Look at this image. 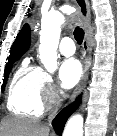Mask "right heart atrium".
<instances>
[{"label": "right heart atrium", "instance_id": "1", "mask_svg": "<svg viewBox=\"0 0 117 136\" xmlns=\"http://www.w3.org/2000/svg\"><path fill=\"white\" fill-rule=\"evenodd\" d=\"M42 90L46 92H52L53 90V80L49 75L45 73L42 80Z\"/></svg>", "mask_w": 117, "mask_h": 136}]
</instances>
